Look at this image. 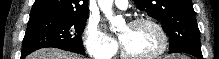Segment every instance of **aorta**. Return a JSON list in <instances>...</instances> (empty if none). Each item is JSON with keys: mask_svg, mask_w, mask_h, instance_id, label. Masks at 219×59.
<instances>
[{"mask_svg": "<svg viewBox=\"0 0 219 59\" xmlns=\"http://www.w3.org/2000/svg\"><path fill=\"white\" fill-rule=\"evenodd\" d=\"M98 5L101 11L105 14L106 18L109 20L111 24V30H116L115 26L118 24V19L117 17L113 16V0H98Z\"/></svg>", "mask_w": 219, "mask_h": 59, "instance_id": "obj_1", "label": "aorta"}]
</instances>
